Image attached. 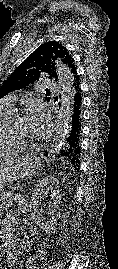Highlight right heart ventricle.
<instances>
[{
	"mask_svg": "<svg viewBox=\"0 0 118 269\" xmlns=\"http://www.w3.org/2000/svg\"><path fill=\"white\" fill-rule=\"evenodd\" d=\"M11 108L0 105V157L14 155L21 151L20 144L9 139L6 130V123L12 116Z\"/></svg>",
	"mask_w": 118,
	"mask_h": 269,
	"instance_id": "e07e8e85",
	"label": "right heart ventricle"
}]
</instances>
